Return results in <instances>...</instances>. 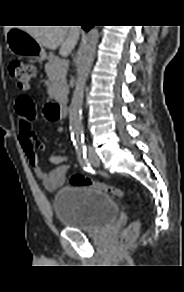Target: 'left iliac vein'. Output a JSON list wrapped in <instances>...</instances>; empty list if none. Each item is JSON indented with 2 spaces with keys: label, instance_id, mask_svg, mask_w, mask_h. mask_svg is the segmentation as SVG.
Wrapping results in <instances>:
<instances>
[{
  "label": "left iliac vein",
  "instance_id": "4c4485c4",
  "mask_svg": "<svg viewBox=\"0 0 184 292\" xmlns=\"http://www.w3.org/2000/svg\"><path fill=\"white\" fill-rule=\"evenodd\" d=\"M89 161L93 166H99V159L94 153H90Z\"/></svg>",
  "mask_w": 184,
  "mask_h": 292
}]
</instances>
